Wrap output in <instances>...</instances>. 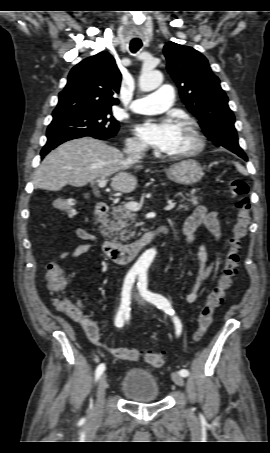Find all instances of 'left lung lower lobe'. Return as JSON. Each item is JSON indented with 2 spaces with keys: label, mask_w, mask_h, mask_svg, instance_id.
Wrapping results in <instances>:
<instances>
[{
  "label": "left lung lower lobe",
  "mask_w": 270,
  "mask_h": 453,
  "mask_svg": "<svg viewBox=\"0 0 270 453\" xmlns=\"http://www.w3.org/2000/svg\"><path fill=\"white\" fill-rule=\"evenodd\" d=\"M232 152H234L235 154H237L238 156H240L244 160H247V157H246V155L244 154V152H243V150L241 148H237L235 150H232Z\"/></svg>",
  "instance_id": "0a47b994"
}]
</instances>
